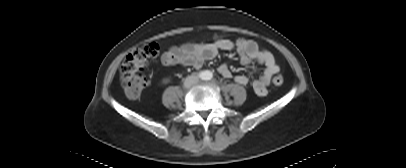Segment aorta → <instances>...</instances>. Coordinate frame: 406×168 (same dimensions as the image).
<instances>
[{
  "label": "aorta",
  "mask_w": 406,
  "mask_h": 168,
  "mask_svg": "<svg viewBox=\"0 0 406 168\" xmlns=\"http://www.w3.org/2000/svg\"><path fill=\"white\" fill-rule=\"evenodd\" d=\"M212 77H213V74H212V72L209 71V70H206V71H204V72L202 73V78H203L204 80H210Z\"/></svg>",
  "instance_id": "762f6f07"
}]
</instances>
